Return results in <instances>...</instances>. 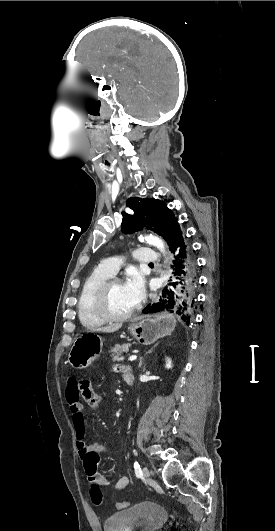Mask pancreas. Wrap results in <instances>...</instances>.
Segmentation results:
<instances>
[{
    "mask_svg": "<svg viewBox=\"0 0 275 531\" xmlns=\"http://www.w3.org/2000/svg\"><path fill=\"white\" fill-rule=\"evenodd\" d=\"M129 347L131 345H114V347H111L109 353L110 357H112V361H124V357H122L121 353H128Z\"/></svg>",
    "mask_w": 275,
    "mask_h": 531,
    "instance_id": "pancreas-1",
    "label": "pancreas"
}]
</instances>
